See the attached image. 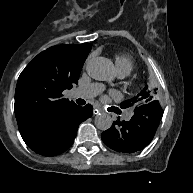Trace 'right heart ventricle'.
I'll return each mask as SVG.
<instances>
[{
    "instance_id": "e07e8e85",
    "label": "right heart ventricle",
    "mask_w": 193,
    "mask_h": 193,
    "mask_svg": "<svg viewBox=\"0 0 193 193\" xmlns=\"http://www.w3.org/2000/svg\"><path fill=\"white\" fill-rule=\"evenodd\" d=\"M133 66V61L127 56H117L115 59V69L120 77L129 75Z\"/></svg>"
}]
</instances>
